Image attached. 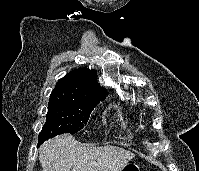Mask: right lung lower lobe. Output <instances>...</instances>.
<instances>
[{
	"mask_svg": "<svg viewBox=\"0 0 199 171\" xmlns=\"http://www.w3.org/2000/svg\"><path fill=\"white\" fill-rule=\"evenodd\" d=\"M41 144H42V142L38 141V145H41Z\"/></svg>",
	"mask_w": 199,
	"mask_h": 171,
	"instance_id": "obj_1",
	"label": "right lung lower lobe"
}]
</instances>
